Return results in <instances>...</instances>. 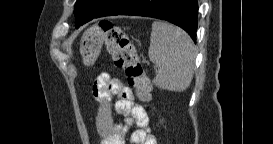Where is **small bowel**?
<instances>
[{
  "mask_svg": "<svg viewBox=\"0 0 273 144\" xmlns=\"http://www.w3.org/2000/svg\"><path fill=\"white\" fill-rule=\"evenodd\" d=\"M92 94L97 103L95 124L102 144H125L128 126L132 124L136 129L129 134L131 144H157L146 110L135 101L132 89L124 85L122 80L104 72L94 81ZM113 97L116 98L114 106ZM113 108L123 117L125 124L114 121Z\"/></svg>",
  "mask_w": 273,
  "mask_h": 144,
  "instance_id": "small-bowel-1",
  "label": "small bowel"
}]
</instances>
